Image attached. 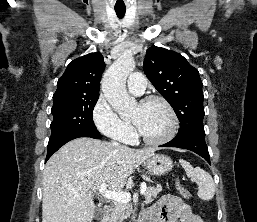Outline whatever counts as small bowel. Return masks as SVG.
I'll list each match as a JSON object with an SVG mask.
<instances>
[{
    "mask_svg": "<svg viewBox=\"0 0 257 222\" xmlns=\"http://www.w3.org/2000/svg\"><path fill=\"white\" fill-rule=\"evenodd\" d=\"M145 222H204L190 206L177 196L161 198L145 214Z\"/></svg>",
    "mask_w": 257,
    "mask_h": 222,
    "instance_id": "small-bowel-1",
    "label": "small bowel"
}]
</instances>
